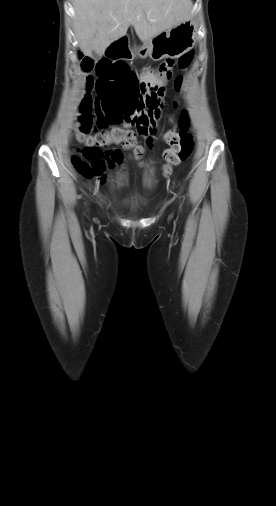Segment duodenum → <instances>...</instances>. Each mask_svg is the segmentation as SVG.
Returning a JSON list of instances; mask_svg holds the SVG:
<instances>
[{"instance_id":"obj_1","label":"duodenum","mask_w":276,"mask_h":506,"mask_svg":"<svg viewBox=\"0 0 276 506\" xmlns=\"http://www.w3.org/2000/svg\"><path fill=\"white\" fill-rule=\"evenodd\" d=\"M103 56L108 58H133L134 50L131 45L127 44V37L120 36L117 38L111 45L105 47L103 51Z\"/></svg>"}]
</instances>
